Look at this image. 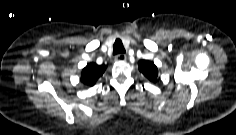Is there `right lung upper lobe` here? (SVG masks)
<instances>
[{"label":"right lung upper lobe","instance_id":"right-lung-upper-lobe-1","mask_svg":"<svg viewBox=\"0 0 236 135\" xmlns=\"http://www.w3.org/2000/svg\"><path fill=\"white\" fill-rule=\"evenodd\" d=\"M106 65H97L96 63H89L82 70L81 82L87 86H93L96 81L102 76L106 70Z\"/></svg>","mask_w":236,"mask_h":135}]
</instances>
